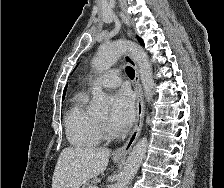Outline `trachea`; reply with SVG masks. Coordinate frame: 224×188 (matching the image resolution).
Wrapping results in <instances>:
<instances>
[{
  "label": "trachea",
  "mask_w": 224,
  "mask_h": 188,
  "mask_svg": "<svg viewBox=\"0 0 224 188\" xmlns=\"http://www.w3.org/2000/svg\"><path fill=\"white\" fill-rule=\"evenodd\" d=\"M126 71H127L128 76L131 79H134V77H135V71H134V69L131 66H127L126 67Z\"/></svg>",
  "instance_id": "1"
}]
</instances>
